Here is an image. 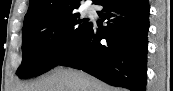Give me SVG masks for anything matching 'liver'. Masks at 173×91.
I'll list each match as a JSON object with an SVG mask.
<instances>
[{
  "instance_id": "6515ba94",
  "label": "liver",
  "mask_w": 173,
  "mask_h": 91,
  "mask_svg": "<svg viewBox=\"0 0 173 91\" xmlns=\"http://www.w3.org/2000/svg\"><path fill=\"white\" fill-rule=\"evenodd\" d=\"M17 91H122L103 83L83 71L71 68H56L50 74L21 85Z\"/></svg>"
}]
</instances>
